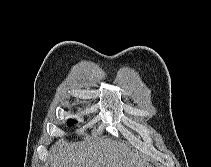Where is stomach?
I'll list each match as a JSON object with an SVG mask.
<instances>
[{
  "instance_id": "stomach-1",
  "label": "stomach",
  "mask_w": 211,
  "mask_h": 167,
  "mask_svg": "<svg viewBox=\"0 0 211 167\" xmlns=\"http://www.w3.org/2000/svg\"><path fill=\"white\" fill-rule=\"evenodd\" d=\"M141 167H156L154 164L151 163H145Z\"/></svg>"
}]
</instances>
